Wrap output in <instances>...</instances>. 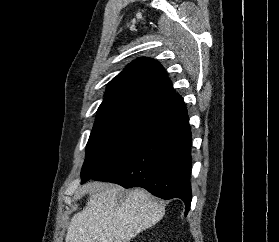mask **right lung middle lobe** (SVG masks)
<instances>
[{"instance_id":"1","label":"right lung middle lobe","mask_w":279,"mask_h":242,"mask_svg":"<svg viewBox=\"0 0 279 242\" xmlns=\"http://www.w3.org/2000/svg\"><path fill=\"white\" fill-rule=\"evenodd\" d=\"M159 123L160 116L144 112L98 114L87 143L81 178L104 173L147 140Z\"/></svg>"}]
</instances>
